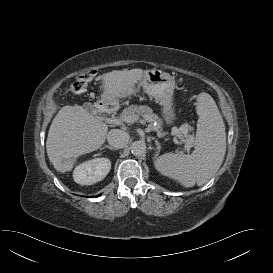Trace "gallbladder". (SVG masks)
I'll return each mask as SVG.
<instances>
[{
	"instance_id": "bac80fb5",
	"label": "gallbladder",
	"mask_w": 273,
	"mask_h": 273,
	"mask_svg": "<svg viewBox=\"0 0 273 273\" xmlns=\"http://www.w3.org/2000/svg\"><path fill=\"white\" fill-rule=\"evenodd\" d=\"M83 107H84V109H86L88 112H90V113H93L94 112V108H93V106L90 104V103H85L84 105H83Z\"/></svg>"
}]
</instances>
